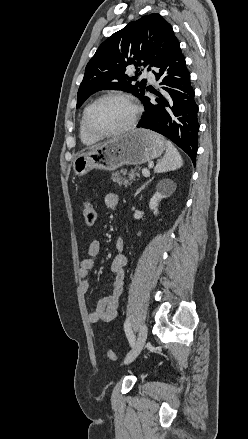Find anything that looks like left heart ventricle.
<instances>
[{"instance_id":"b2bd125f","label":"left heart ventricle","mask_w":248,"mask_h":439,"mask_svg":"<svg viewBox=\"0 0 248 439\" xmlns=\"http://www.w3.org/2000/svg\"><path fill=\"white\" fill-rule=\"evenodd\" d=\"M132 107L122 100L106 99L97 103L90 111L89 123L100 132L123 128L131 120Z\"/></svg>"}]
</instances>
